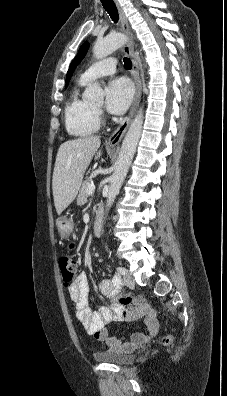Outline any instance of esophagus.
<instances>
[{"instance_id": "esophagus-1", "label": "esophagus", "mask_w": 227, "mask_h": 396, "mask_svg": "<svg viewBox=\"0 0 227 396\" xmlns=\"http://www.w3.org/2000/svg\"><path fill=\"white\" fill-rule=\"evenodd\" d=\"M114 3L116 5V8L119 13L122 31L131 40L132 39V31H131L128 19L124 13V10L121 7L118 0H114ZM123 50H124L125 55H127L132 61L133 66H132L131 74H132V78H133V81L135 84V96H134L133 103H132V106L130 108L128 115L122 120V122L117 127V129L109 137L108 144H110V145H117L122 140L124 134L126 133L128 127L136 113V110L139 105L140 97H141V80H140V75H139V66H138V62L134 56V53H133L131 41H128L126 43Z\"/></svg>"}]
</instances>
